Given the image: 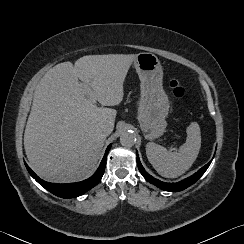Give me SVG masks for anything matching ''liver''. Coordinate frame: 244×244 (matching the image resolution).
<instances>
[{
  "label": "liver",
  "instance_id": "1",
  "mask_svg": "<svg viewBox=\"0 0 244 244\" xmlns=\"http://www.w3.org/2000/svg\"><path fill=\"white\" fill-rule=\"evenodd\" d=\"M137 55H87L74 64L60 63L38 83L24 133L31 168L41 178L70 183L88 178L96 169L106 136L101 124L113 130L116 106L124 96L123 83ZM82 83H81V82ZM83 84L95 93L86 98Z\"/></svg>",
  "mask_w": 244,
  "mask_h": 244
}]
</instances>
